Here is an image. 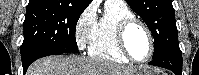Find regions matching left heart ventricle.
<instances>
[{
    "instance_id": "obj_1",
    "label": "left heart ventricle",
    "mask_w": 199,
    "mask_h": 75,
    "mask_svg": "<svg viewBox=\"0 0 199 75\" xmlns=\"http://www.w3.org/2000/svg\"><path fill=\"white\" fill-rule=\"evenodd\" d=\"M126 44L130 54L137 60L144 59L149 53L148 37L139 25H133L129 28Z\"/></svg>"
}]
</instances>
